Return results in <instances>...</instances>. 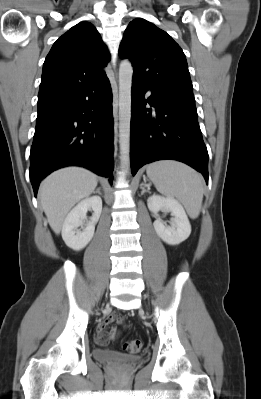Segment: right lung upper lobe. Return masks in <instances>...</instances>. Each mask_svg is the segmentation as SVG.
<instances>
[{"instance_id":"right-lung-upper-lobe-1","label":"right lung upper lobe","mask_w":261,"mask_h":399,"mask_svg":"<svg viewBox=\"0 0 261 399\" xmlns=\"http://www.w3.org/2000/svg\"><path fill=\"white\" fill-rule=\"evenodd\" d=\"M107 47L96 28L81 22L52 46L43 64L38 101L90 84L105 77Z\"/></svg>"}]
</instances>
